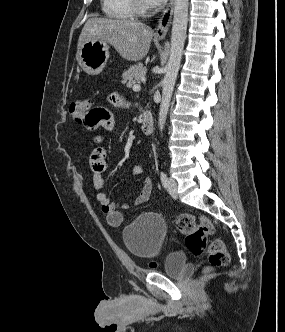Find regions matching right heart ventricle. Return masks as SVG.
Masks as SVG:
<instances>
[{
	"label": "right heart ventricle",
	"mask_w": 285,
	"mask_h": 332,
	"mask_svg": "<svg viewBox=\"0 0 285 332\" xmlns=\"http://www.w3.org/2000/svg\"><path fill=\"white\" fill-rule=\"evenodd\" d=\"M101 9L107 18L132 20L136 17L132 0H100Z\"/></svg>",
	"instance_id": "right-heart-ventricle-1"
}]
</instances>
